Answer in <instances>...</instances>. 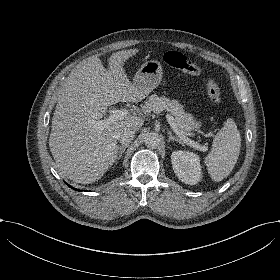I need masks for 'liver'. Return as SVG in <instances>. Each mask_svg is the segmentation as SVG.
I'll return each instance as SVG.
<instances>
[{
	"instance_id": "liver-1",
	"label": "liver",
	"mask_w": 280,
	"mask_h": 280,
	"mask_svg": "<svg viewBox=\"0 0 280 280\" xmlns=\"http://www.w3.org/2000/svg\"><path fill=\"white\" fill-rule=\"evenodd\" d=\"M136 50L118 51L110 69L99 58L86 61L65 79V89L54 111L49 145L57 167L74 182L93 183L110 167L118 153L117 133L138 131L143 119L130 115L101 121L107 106L119 101L140 102L147 95L132 87L120 66Z\"/></svg>"
}]
</instances>
